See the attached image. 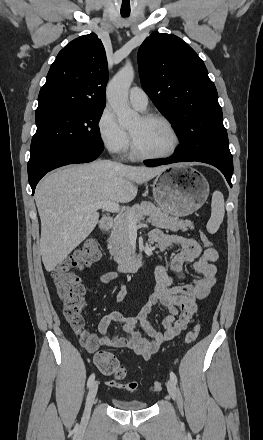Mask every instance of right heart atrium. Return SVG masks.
Wrapping results in <instances>:
<instances>
[{"label":"right heart atrium","instance_id":"1","mask_svg":"<svg viewBox=\"0 0 263 440\" xmlns=\"http://www.w3.org/2000/svg\"><path fill=\"white\" fill-rule=\"evenodd\" d=\"M97 131L101 143L113 153L126 149L129 143L127 131L119 124L115 114L105 108L98 119Z\"/></svg>","mask_w":263,"mask_h":440}]
</instances>
